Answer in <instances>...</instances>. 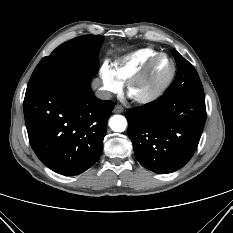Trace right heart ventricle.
Returning <instances> with one entry per match:
<instances>
[{
	"instance_id": "obj_1",
	"label": "right heart ventricle",
	"mask_w": 233,
	"mask_h": 233,
	"mask_svg": "<svg viewBox=\"0 0 233 233\" xmlns=\"http://www.w3.org/2000/svg\"><path fill=\"white\" fill-rule=\"evenodd\" d=\"M158 54L154 49L144 48L113 62L109 68L122 84L139 73Z\"/></svg>"
}]
</instances>
